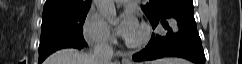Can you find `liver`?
<instances>
[{"mask_svg":"<svg viewBox=\"0 0 242 64\" xmlns=\"http://www.w3.org/2000/svg\"><path fill=\"white\" fill-rule=\"evenodd\" d=\"M44 64H98L94 55L82 54L75 49H63L50 55Z\"/></svg>","mask_w":242,"mask_h":64,"instance_id":"1","label":"liver"}]
</instances>
